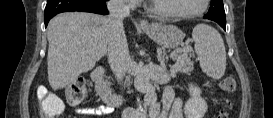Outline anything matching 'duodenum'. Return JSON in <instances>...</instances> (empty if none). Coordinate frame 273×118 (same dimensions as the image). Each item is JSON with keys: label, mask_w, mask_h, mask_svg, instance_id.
I'll list each match as a JSON object with an SVG mask.
<instances>
[{"label": "duodenum", "mask_w": 273, "mask_h": 118, "mask_svg": "<svg viewBox=\"0 0 273 118\" xmlns=\"http://www.w3.org/2000/svg\"><path fill=\"white\" fill-rule=\"evenodd\" d=\"M96 93L110 108L120 107L124 103V96L114 92L104 78V68L96 67L91 74Z\"/></svg>", "instance_id": "duodenum-1"}]
</instances>
